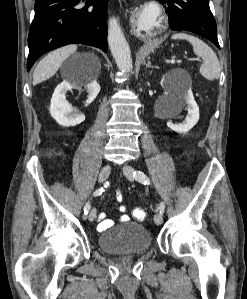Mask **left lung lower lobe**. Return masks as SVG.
Returning a JSON list of instances; mask_svg holds the SVG:
<instances>
[{
    "mask_svg": "<svg viewBox=\"0 0 247 299\" xmlns=\"http://www.w3.org/2000/svg\"><path fill=\"white\" fill-rule=\"evenodd\" d=\"M167 8L170 29L199 34L219 49L217 27L209 8V0H158Z\"/></svg>",
    "mask_w": 247,
    "mask_h": 299,
    "instance_id": "obj_1",
    "label": "left lung lower lobe"
}]
</instances>
